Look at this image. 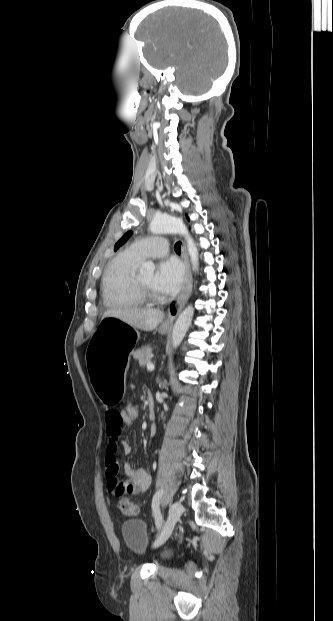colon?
Returning a JSON list of instances; mask_svg holds the SVG:
<instances>
[{
	"label": "colon",
	"instance_id": "obj_1",
	"mask_svg": "<svg viewBox=\"0 0 333 621\" xmlns=\"http://www.w3.org/2000/svg\"><path fill=\"white\" fill-rule=\"evenodd\" d=\"M122 412L129 424L135 422L139 417V409L132 401H126L123 403ZM118 507L120 512L125 516H136L138 513L137 506L131 500L126 498L120 499Z\"/></svg>",
	"mask_w": 333,
	"mask_h": 621
}]
</instances>
